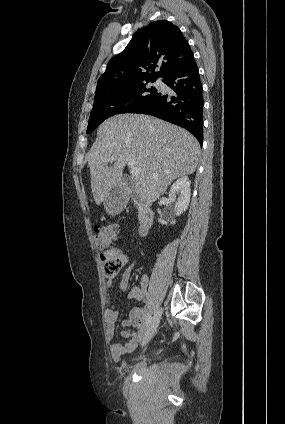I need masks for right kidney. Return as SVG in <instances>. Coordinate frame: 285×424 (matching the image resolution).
<instances>
[{"mask_svg":"<svg viewBox=\"0 0 285 424\" xmlns=\"http://www.w3.org/2000/svg\"><path fill=\"white\" fill-rule=\"evenodd\" d=\"M191 182L187 176H182L179 179H177L171 186L169 197L174 199L176 197V194L179 193L180 197L178 198V201L175 203V214L176 216H180L183 212H185L188 209L189 203H190V196H191V188H190ZM158 221L161 224H167L166 221H164L162 218H159ZM176 223L175 220H172L170 224L174 225Z\"/></svg>","mask_w":285,"mask_h":424,"instance_id":"1","label":"right kidney"}]
</instances>
